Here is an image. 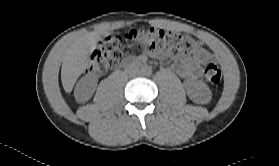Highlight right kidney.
Wrapping results in <instances>:
<instances>
[{
    "label": "right kidney",
    "instance_id": "obj_1",
    "mask_svg": "<svg viewBox=\"0 0 279 166\" xmlns=\"http://www.w3.org/2000/svg\"><path fill=\"white\" fill-rule=\"evenodd\" d=\"M96 88V80L91 76L83 77L76 85L75 97L79 102H85L91 98Z\"/></svg>",
    "mask_w": 279,
    "mask_h": 166
}]
</instances>
